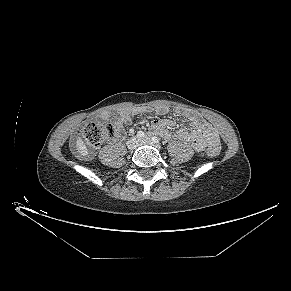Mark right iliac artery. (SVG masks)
I'll return each instance as SVG.
<instances>
[{
  "label": "right iliac artery",
  "instance_id": "1",
  "mask_svg": "<svg viewBox=\"0 0 291 291\" xmlns=\"http://www.w3.org/2000/svg\"><path fill=\"white\" fill-rule=\"evenodd\" d=\"M137 137H138V138H142V137H144V133H143L142 131L138 132V133H137Z\"/></svg>",
  "mask_w": 291,
  "mask_h": 291
}]
</instances>
